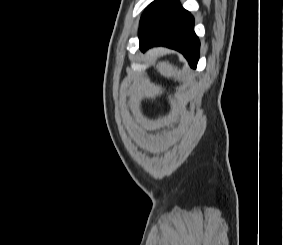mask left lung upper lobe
I'll return each mask as SVG.
<instances>
[{
    "mask_svg": "<svg viewBox=\"0 0 283 245\" xmlns=\"http://www.w3.org/2000/svg\"><path fill=\"white\" fill-rule=\"evenodd\" d=\"M176 0H155L144 11L140 20L139 35L149 31L169 10Z\"/></svg>",
    "mask_w": 283,
    "mask_h": 245,
    "instance_id": "5c2ea615",
    "label": "left lung upper lobe"
}]
</instances>
